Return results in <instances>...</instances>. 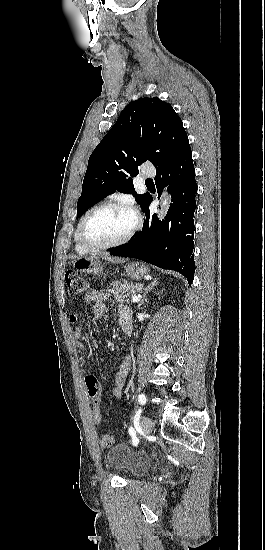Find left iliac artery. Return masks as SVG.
I'll use <instances>...</instances> for the list:
<instances>
[{
    "mask_svg": "<svg viewBox=\"0 0 265 550\" xmlns=\"http://www.w3.org/2000/svg\"><path fill=\"white\" fill-rule=\"evenodd\" d=\"M138 401L140 402L141 405H144L146 403V397L144 394H140L138 396ZM129 434L131 435L132 437V444L134 446H137L138 443H139V439L136 437V434H135V431L132 427L129 428Z\"/></svg>",
    "mask_w": 265,
    "mask_h": 550,
    "instance_id": "1",
    "label": "left iliac artery"
}]
</instances>
